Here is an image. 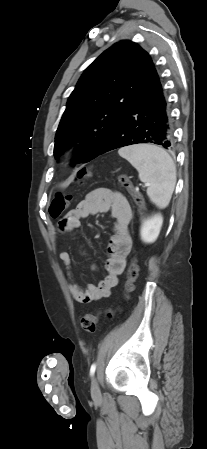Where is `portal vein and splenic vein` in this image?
<instances>
[{
	"mask_svg": "<svg viewBox=\"0 0 207 449\" xmlns=\"http://www.w3.org/2000/svg\"><path fill=\"white\" fill-rule=\"evenodd\" d=\"M149 186V184H145V187H148Z\"/></svg>",
	"mask_w": 207,
	"mask_h": 449,
	"instance_id": "18ae733b",
	"label": "portal vein and splenic vein"
}]
</instances>
